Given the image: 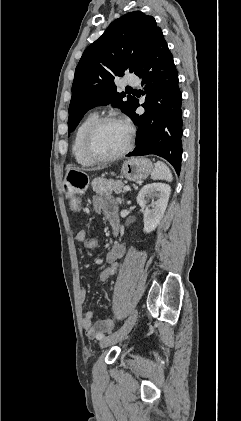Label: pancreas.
Returning <instances> with one entry per match:
<instances>
[{"mask_svg":"<svg viewBox=\"0 0 241 421\" xmlns=\"http://www.w3.org/2000/svg\"><path fill=\"white\" fill-rule=\"evenodd\" d=\"M124 183L121 180L95 178L92 181V189L99 195L111 194L113 191L116 194L126 192L124 189Z\"/></svg>","mask_w":241,"mask_h":421,"instance_id":"pancreas-1","label":"pancreas"}]
</instances>
